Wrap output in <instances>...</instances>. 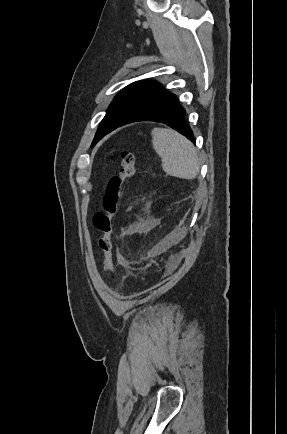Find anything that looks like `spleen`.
Masks as SVG:
<instances>
[{
    "instance_id": "spleen-1",
    "label": "spleen",
    "mask_w": 287,
    "mask_h": 434,
    "mask_svg": "<svg viewBox=\"0 0 287 434\" xmlns=\"http://www.w3.org/2000/svg\"><path fill=\"white\" fill-rule=\"evenodd\" d=\"M152 144L167 175L188 180L198 175L199 158L194 145L186 137L172 129L154 128Z\"/></svg>"
}]
</instances>
